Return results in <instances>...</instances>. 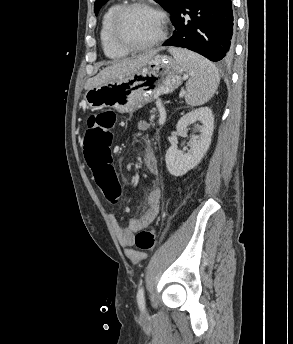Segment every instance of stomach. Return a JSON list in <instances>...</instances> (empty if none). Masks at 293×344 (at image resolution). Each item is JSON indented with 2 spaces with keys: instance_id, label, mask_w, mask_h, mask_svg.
I'll list each match as a JSON object with an SVG mask.
<instances>
[{
  "instance_id": "obj_1",
  "label": "stomach",
  "mask_w": 293,
  "mask_h": 344,
  "mask_svg": "<svg viewBox=\"0 0 293 344\" xmlns=\"http://www.w3.org/2000/svg\"><path fill=\"white\" fill-rule=\"evenodd\" d=\"M184 71L175 58L155 54L137 72L89 89L84 99L92 110L109 107L132 113L154 97L177 89Z\"/></svg>"
}]
</instances>
